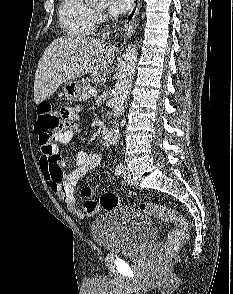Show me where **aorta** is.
<instances>
[{"instance_id": "obj_1", "label": "aorta", "mask_w": 233, "mask_h": 294, "mask_svg": "<svg viewBox=\"0 0 233 294\" xmlns=\"http://www.w3.org/2000/svg\"><path fill=\"white\" fill-rule=\"evenodd\" d=\"M90 3H103L105 0H87ZM137 62V48L131 44L126 49L117 73V80L114 88V120L112 128L107 137L111 144H116L120 139L119 118L124 112L125 102L134 78Z\"/></svg>"}]
</instances>
